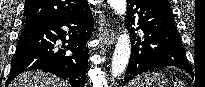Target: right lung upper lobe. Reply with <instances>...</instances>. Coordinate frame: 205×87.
Instances as JSON below:
<instances>
[{
  "label": "right lung upper lobe",
  "instance_id": "cb5924a9",
  "mask_svg": "<svg viewBox=\"0 0 205 87\" xmlns=\"http://www.w3.org/2000/svg\"><path fill=\"white\" fill-rule=\"evenodd\" d=\"M87 4V0H25V26L62 18Z\"/></svg>",
  "mask_w": 205,
  "mask_h": 87
}]
</instances>
